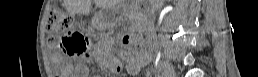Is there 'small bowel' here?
<instances>
[{"mask_svg":"<svg viewBox=\"0 0 258 77\" xmlns=\"http://www.w3.org/2000/svg\"><path fill=\"white\" fill-rule=\"evenodd\" d=\"M95 53H99V51H95ZM108 60L111 69L115 72H119L120 67L122 66L120 60L115 59L113 56H108ZM123 60L126 71L130 73H138L142 68L149 64L151 60V55L147 52L137 53L135 55L131 53H126L124 54Z\"/></svg>","mask_w":258,"mask_h":77,"instance_id":"obj_1","label":"small bowel"}]
</instances>
